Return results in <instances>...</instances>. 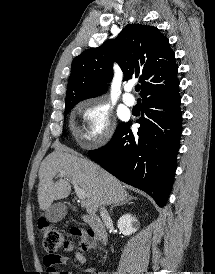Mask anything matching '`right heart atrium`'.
Listing matches in <instances>:
<instances>
[{
  "label": "right heart atrium",
  "mask_w": 215,
  "mask_h": 274,
  "mask_svg": "<svg viewBox=\"0 0 215 274\" xmlns=\"http://www.w3.org/2000/svg\"><path fill=\"white\" fill-rule=\"evenodd\" d=\"M82 124L78 139L83 147H98L105 144L113 131L112 115L99 100H86L80 105Z\"/></svg>",
  "instance_id": "obj_1"
}]
</instances>
